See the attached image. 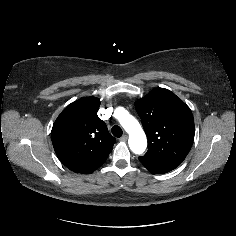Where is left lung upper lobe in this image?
<instances>
[{
	"instance_id": "obj_1",
	"label": "left lung upper lobe",
	"mask_w": 236,
	"mask_h": 236,
	"mask_svg": "<svg viewBox=\"0 0 236 236\" xmlns=\"http://www.w3.org/2000/svg\"><path fill=\"white\" fill-rule=\"evenodd\" d=\"M148 138L149 149L139 157L145 167L171 171L189 153L194 140V119L190 108L173 92L150 91L135 103Z\"/></svg>"
}]
</instances>
